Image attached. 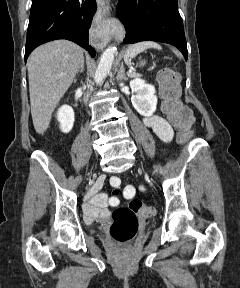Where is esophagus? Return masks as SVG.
Returning <instances> with one entry per match:
<instances>
[{
	"mask_svg": "<svg viewBox=\"0 0 240 288\" xmlns=\"http://www.w3.org/2000/svg\"><path fill=\"white\" fill-rule=\"evenodd\" d=\"M95 22L98 26L101 44L106 45L113 32V23L110 18V9L106 0H97Z\"/></svg>",
	"mask_w": 240,
	"mask_h": 288,
	"instance_id": "esophagus-1",
	"label": "esophagus"
}]
</instances>
